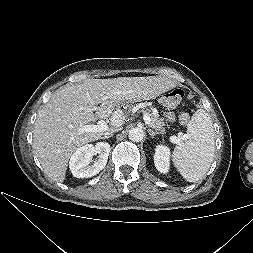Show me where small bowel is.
I'll return each instance as SVG.
<instances>
[{"mask_svg": "<svg viewBox=\"0 0 253 253\" xmlns=\"http://www.w3.org/2000/svg\"><path fill=\"white\" fill-rule=\"evenodd\" d=\"M167 119L169 120V121H173L174 120V115H173V113H169L168 115H167Z\"/></svg>", "mask_w": 253, "mask_h": 253, "instance_id": "c3829d8e", "label": "small bowel"}]
</instances>
